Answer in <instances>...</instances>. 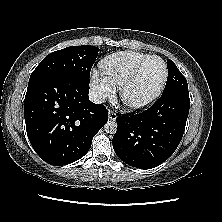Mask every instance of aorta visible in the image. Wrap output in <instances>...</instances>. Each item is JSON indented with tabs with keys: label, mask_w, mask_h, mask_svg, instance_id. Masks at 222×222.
Masks as SVG:
<instances>
[{
	"label": "aorta",
	"mask_w": 222,
	"mask_h": 222,
	"mask_svg": "<svg viewBox=\"0 0 222 222\" xmlns=\"http://www.w3.org/2000/svg\"><path fill=\"white\" fill-rule=\"evenodd\" d=\"M117 127H118V125L115 121H108L105 124L104 129L109 134H115L117 131Z\"/></svg>",
	"instance_id": "aorta-1"
}]
</instances>
